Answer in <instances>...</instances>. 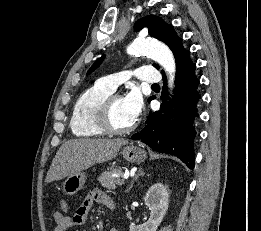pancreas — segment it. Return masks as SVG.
<instances>
[{
  "label": "pancreas",
  "instance_id": "cf45deb5",
  "mask_svg": "<svg viewBox=\"0 0 261 231\" xmlns=\"http://www.w3.org/2000/svg\"><path fill=\"white\" fill-rule=\"evenodd\" d=\"M120 175H122V171L120 169L111 167L98 177V181L103 187L112 191L116 189L117 185H121L119 184L121 180L118 178Z\"/></svg>",
  "mask_w": 261,
  "mask_h": 231
}]
</instances>
